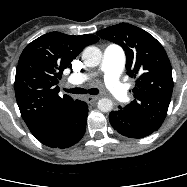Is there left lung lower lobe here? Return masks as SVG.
I'll list each match as a JSON object with an SVG mask.
<instances>
[{"instance_id": "left-lung-lower-lobe-1", "label": "left lung lower lobe", "mask_w": 187, "mask_h": 187, "mask_svg": "<svg viewBox=\"0 0 187 187\" xmlns=\"http://www.w3.org/2000/svg\"><path fill=\"white\" fill-rule=\"evenodd\" d=\"M109 121L118 133L129 138H143L156 131L121 109L112 111L109 115Z\"/></svg>"}]
</instances>
